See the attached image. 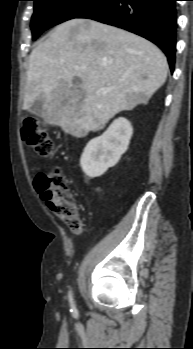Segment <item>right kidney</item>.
Returning a JSON list of instances; mask_svg holds the SVG:
<instances>
[{
  "instance_id": "obj_1",
  "label": "right kidney",
  "mask_w": 193,
  "mask_h": 349,
  "mask_svg": "<svg viewBox=\"0 0 193 349\" xmlns=\"http://www.w3.org/2000/svg\"><path fill=\"white\" fill-rule=\"evenodd\" d=\"M132 134V126L126 118L115 119L101 136L92 139L84 148L80 158L83 172L95 178L115 166L126 152Z\"/></svg>"
}]
</instances>
